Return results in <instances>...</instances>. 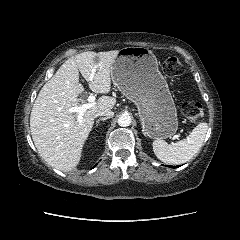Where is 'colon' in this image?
Segmentation results:
<instances>
[{"mask_svg": "<svg viewBox=\"0 0 240 240\" xmlns=\"http://www.w3.org/2000/svg\"><path fill=\"white\" fill-rule=\"evenodd\" d=\"M164 74L167 77L175 78L183 74V66L179 59L174 56H170L165 59L162 65ZM182 114L190 122H198L204 116V108L199 102L186 101L180 106Z\"/></svg>", "mask_w": 240, "mask_h": 240, "instance_id": "5ec220e1", "label": "colon"}]
</instances>
